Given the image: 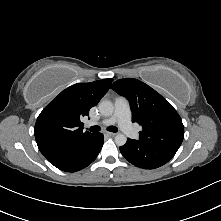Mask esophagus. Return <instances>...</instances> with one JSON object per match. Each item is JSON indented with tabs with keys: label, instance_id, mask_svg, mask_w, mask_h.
I'll list each match as a JSON object with an SVG mask.
<instances>
[{
	"label": "esophagus",
	"instance_id": "esophagus-1",
	"mask_svg": "<svg viewBox=\"0 0 221 221\" xmlns=\"http://www.w3.org/2000/svg\"><path fill=\"white\" fill-rule=\"evenodd\" d=\"M106 134L109 135V136H115L116 135V133H113V132H106Z\"/></svg>",
	"mask_w": 221,
	"mask_h": 221
}]
</instances>
